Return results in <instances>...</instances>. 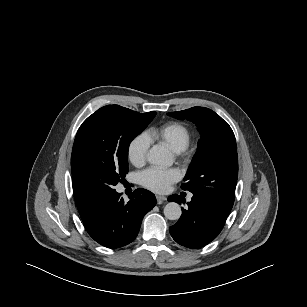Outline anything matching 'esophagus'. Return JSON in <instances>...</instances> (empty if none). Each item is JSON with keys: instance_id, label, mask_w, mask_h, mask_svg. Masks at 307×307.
Returning <instances> with one entry per match:
<instances>
[{"instance_id": "esophagus-1", "label": "esophagus", "mask_w": 307, "mask_h": 307, "mask_svg": "<svg viewBox=\"0 0 307 307\" xmlns=\"http://www.w3.org/2000/svg\"><path fill=\"white\" fill-rule=\"evenodd\" d=\"M166 197L162 195H156V200L158 204H162L164 201H166Z\"/></svg>"}]
</instances>
